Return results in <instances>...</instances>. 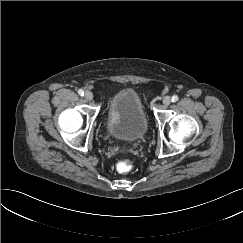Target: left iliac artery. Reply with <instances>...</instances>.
Wrapping results in <instances>:
<instances>
[{
    "label": "left iliac artery",
    "mask_w": 243,
    "mask_h": 243,
    "mask_svg": "<svg viewBox=\"0 0 243 243\" xmlns=\"http://www.w3.org/2000/svg\"><path fill=\"white\" fill-rule=\"evenodd\" d=\"M172 101H173V102H177V101H178V96H177V95H174V96L172 97Z\"/></svg>",
    "instance_id": "left-iliac-artery-1"
}]
</instances>
